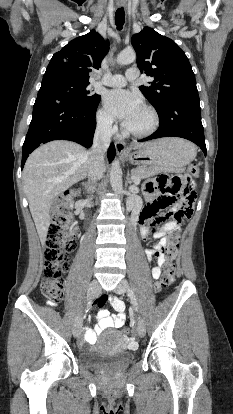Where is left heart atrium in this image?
Here are the masks:
<instances>
[{"label":"left heart atrium","mask_w":233,"mask_h":414,"mask_svg":"<svg viewBox=\"0 0 233 414\" xmlns=\"http://www.w3.org/2000/svg\"><path fill=\"white\" fill-rule=\"evenodd\" d=\"M104 106L108 113L127 125L143 110L139 96L125 89H113L105 93Z\"/></svg>","instance_id":"left-heart-atrium-1"}]
</instances>
